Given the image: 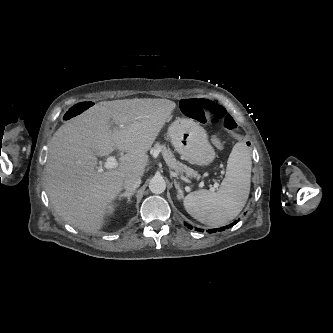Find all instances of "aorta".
Masks as SVG:
<instances>
[{"instance_id":"1","label":"aorta","mask_w":333,"mask_h":333,"mask_svg":"<svg viewBox=\"0 0 333 333\" xmlns=\"http://www.w3.org/2000/svg\"><path fill=\"white\" fill-rule=\"evenodd\" d=\"M149 189L152 193L161 194L166 189V182L161 176H155L150 180Z\"/></svg>"}]
</instances>
